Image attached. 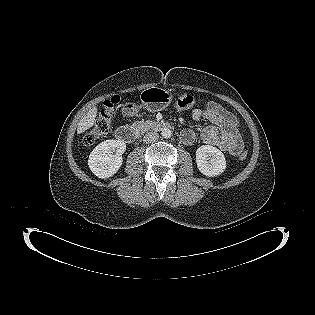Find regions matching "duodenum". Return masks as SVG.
Listing matches in <instances>:
<instances>
[{"instance_id":"duodenum-1","label":"duodenum","mask_w":315,"mask_h":315,"mask_svg":"<svg viewBox=\"0 0 315 315\" xmlns=\"http://www.w3.org/2000/svg\"><path fill=\"white\" fill-rule=\"evenodd\" d=\"M171 125L164 121H150L147 122L143 128L145 130H164L170 128ZM118 140L126 143L134 142L139 136V129L131 126H120L115 132Z\"/></svg>"}]
</instances>
